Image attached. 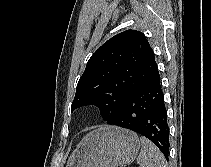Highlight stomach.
<instances>
[{
  "label": "stomach",
  "mask_w": 211,
  "mask_h": 167,
  "mask_svg": "<svg viewBox=\"0 0 211 167\" xmlns=\"http://www.w3.org/2000/svg\"><path fill=\"white\" fill-rule=\"evenodd\" d=\"M139 150L136 133L114 126L103 127L81 140L66 167H124L134 161Z\"/></svg>",
  "instance_id": "obj_1"
}]
</instances>
